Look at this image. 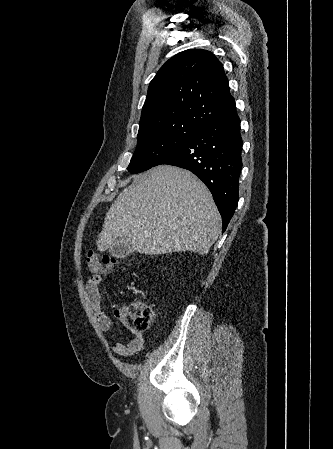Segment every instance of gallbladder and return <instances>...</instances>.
Wrapping results in <instances>:
<instances>
[{"label": "gallbladder", "mask_w": 333, "mask_h": 449, "mask_svg": "<svg viewBox=\"0 0 333 449\" xmlns=\"http://www.w3.org/2000/svg\"><path fill=\"white\" fill-rule=\"evenodd\" d=\"M134 252L131 244L123 239H118L117 242L109 249L111 256L116 258H124Z\"/></svg>", "instance_id": "1"}]
</instances>
